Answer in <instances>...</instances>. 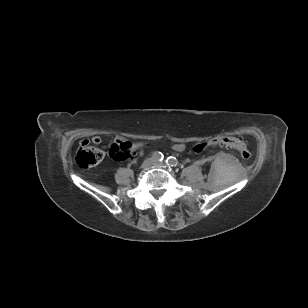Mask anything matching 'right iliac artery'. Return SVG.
<instances>
[{
    "label": "right iliac artery",
    "instance_id": "obj_1",
    "mask_svg": "<svg viewBox=\"0 0 308 308\" xmlns=\"http://www.w3.org/2000/svg\"><path fill=\"white\" fill-rule=\"evenodd\" d=\"M151 157H152V159L155 160V161H162V160L164 159L163 154H162L161 152H158V151L153 152V153L151 154Z\"/></svg>",
    "mask_w": 308,
    "mask_h": 308
}]
</instances>
